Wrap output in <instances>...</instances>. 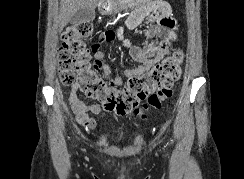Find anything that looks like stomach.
<instances>
[{
    "mask_svg": "<svg viewBox=\"0 0 244 179\" xmlns=\"http://www.w3.org/2000/svg\"><path fill=\"white\" fill-rule=\"evenodd\" d=\"M139 0H121V4H117L114 0H104L102 4L99 6L100 14H104V16H108V14H115V12H121L126 8H134Z\"/></svg>",
    "mask_w": 244,
    "mask_h": 179,
    "instance_id": "0dacf381",
    "label": "stomach"
}]
</instances>
